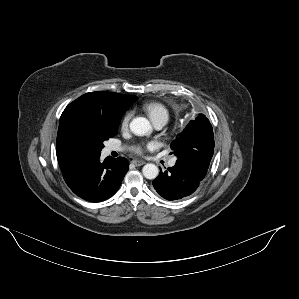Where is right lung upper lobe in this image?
Masks as SVG:
<instances>
[{
  "instance_id": "obj_1",
  "label": "right lung upper lobe",
  "mask_w": 299,
  "mask_h": 299,
  "mask_svg": "<svg viewBox=\"0 0 299 299\" xmlns=\"http://www.w3.org/2000/svg\"><path fill=\"white\" fill-rule=\"evenodd\" d=\"M135 96L113 92L86 93L70 103L63 111L56 141V154L62 172H67L90 155L98 154L81 136L79 121L95 117L107 124L119 123Z\"/></svg>"
}]
</instances>
